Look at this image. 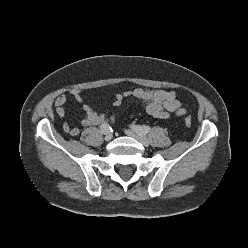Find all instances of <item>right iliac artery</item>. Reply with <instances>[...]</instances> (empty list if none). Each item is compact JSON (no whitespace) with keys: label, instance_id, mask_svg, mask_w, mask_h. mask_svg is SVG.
I'll list each match as a JSON object with an SVG mask.
<instances>
[{"label":"right iliac artery","instance_id":"right-iliac-artery-1","mask_svg":"<svg viewBox=\"0 0 248 248\" xmlns=\"http://www.w3.org/2000/svg\"><path fill=\"white\" fill-rule=\"evenodd\" d=\"M100 129H101L103 134H106V133L110 132L111 127L107 123H104L101 125Z\"/></svg>","mask_w":248,"mask_h":248}]
</instances>
